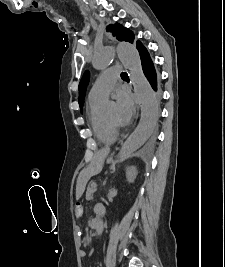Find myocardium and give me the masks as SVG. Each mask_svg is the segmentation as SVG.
<instances>
[{
	"instance_id": "f54148a6",
	"label": "myocardium",
	"mask_w": 225,
	"mask_h": 267,
	"mask_svg": "<svg viewBox=\"0 0 225 267\" xmlns=\"http://www.w3.org/2000/svg\"><path fill=\"white\" fill-rule=\"evenodd\" d=\"M105 120H106V122L108 123V125H109L112 129L116 130V125H115V124L109 122L107 119H105Z\"/></svg>"
}]
</instances>
